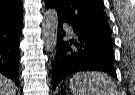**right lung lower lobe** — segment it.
<instances>
[{
	"label": "right lung lower lobe",
	"mask_w": 135,
	"mask_h": 95,
	"mask_svg": "<svg viewBox=\"0 0 135 95\" xmlns=\"http://www.w3.org/2000/svg\"><path fill=\"white\" fill-rule=\"evenodd\" d=\"M22 16L0 21V72L19 86V40Z\"/></svg>",
	"instance_id": "right-lung-lower-lobe-1"
}]
</instances>
